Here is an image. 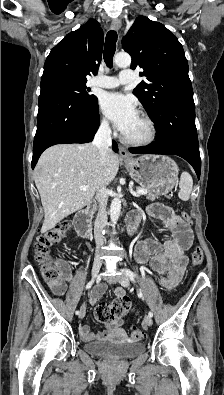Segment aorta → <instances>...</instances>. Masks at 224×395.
<instances>
[{
  "label": "aorta",
  "instance_id": "1",
  "mask_svg": "<svg viewBox=\"0 0 224 395\" xmlns=\"http://www.w3.org/2000/svg\"><path fill=\"white\" fill-rule=\"evenodd\" d=\"M115 64L120 68H126L131 64V57L127 53H118L114 58ZM121 200L119 197H114L110 207V219L112 224H116L120 215Z\"/></svg>",
  "mask_w": 224,
  "mask_h": 395
}]
</instances>
